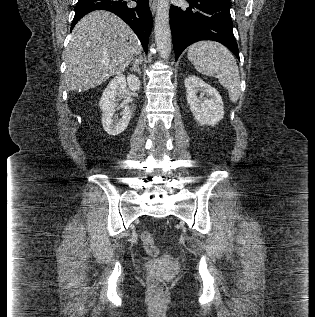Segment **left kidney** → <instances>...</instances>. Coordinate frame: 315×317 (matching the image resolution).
<instances>
[{"instance_id": "left-kidney-1", "label": "left kidney", "mask_w": 315, "mask_h": 317, "mask_svg": "<svg viewBox=\"0 0 315 317\" xmlns=\"http://www.w3.org/2000/svg\"><path fill=\"white\" fill-rule=\"evenodd\" d=\"M187 102L194 119L200 125H216L224 117V106L219 92L197 76L184 80ZM200 93V97L198 94ZM206 95V98L203 96Z\"/></svg>"}]
</instances>
